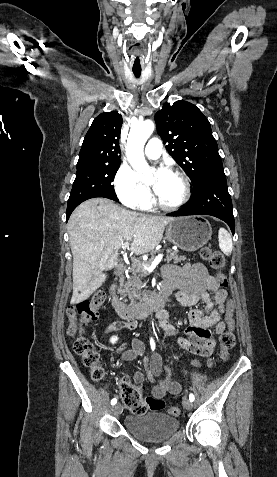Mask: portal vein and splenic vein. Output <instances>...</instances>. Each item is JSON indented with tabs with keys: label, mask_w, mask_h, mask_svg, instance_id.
Instances as JSON below:
<instances>
[{
	"label": "portal vein and splenic vein",
	"mask_w": 277,
	"mask_h": 477,
	"mask_svg": "<svg viewBox=\"0 0 277 477\" xmlns=\"http://www.w3.org/2000/svg\"><path fill=\"white\" fill-rule=\"evenodd\" d=\"M123 249H127L129 248V242H125L123 245H122ZM163 258V253H160L158 254L155 259L150 263V264H147L145 262H140L139 260H137L136 258H132V262L134 265H141L143 267L144 270L150 272V271H153L154 268L161 262Z\"/></svg>",
	"instance_id": "18ae733b"
}]
</instances>
